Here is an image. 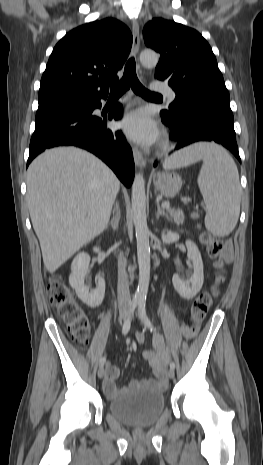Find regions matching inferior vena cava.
Masks as SVG:
<instances>
[{
  "mask_svg": "<svg viewBox=\"0 0 263 465\" xmlns=\"http://www.w3.org/2000/svg\"><path fill=\"white\" fill-rule=\"evenodd\" d=\"M118 206H116L117 208ZM124 260H120L118 264V307L119 309H128L131 306V298L129 292L128 276L125 270Z\"/></svg>",
  "mask_w": 263,
  "mask_h": 465,
  "instance_id": "602c4592",
  "label": "inferior vena cava"
}]
</instances>
